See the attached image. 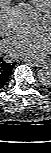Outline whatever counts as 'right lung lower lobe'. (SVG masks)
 I'll return each mask as SVG.
<instances>
[{
	"label": "right lung lower lobe",
	"mask_w": 51,
	"mask_h": 153,
	"mask_svg": "<svg viewBox=\"0 0 51 153\" xmlns=\"http://www.w3.org/2000/svg\"><path fill=\"white\" fill-rule=\"evenodd\" d=\"M16 62L7 63L0 58V89L8 82Z\"/></svg>",
	"instance_id": "1"
}]
</instances>
